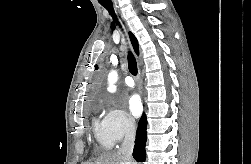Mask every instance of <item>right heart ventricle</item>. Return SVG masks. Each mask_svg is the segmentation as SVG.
Listing matches in <instances>:
<instances>
[{"mask_svg":"<svg viewBox=\"0 0 251 164\" xmlns=\"http://www.w3.org/2000/svg\"><path fill=\"white\" fill-rule=\"evenodd\" d=\"M93 132L100 149L109 150L112 148L114 142L108 135L102 122L98 120L93 121Z\"/></svg>","mask_w":251,"mask_h":164,"instance_id":"obj_1","label":"right heart ventricle"}]
</instances>
